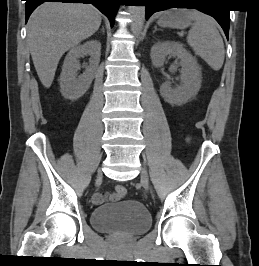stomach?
<instances>
[{"label": "stomach", "instance_id": "obj_1", "mask_svg": "<svg viewBox=\"0 0 259 266\" xmlns=\"http://www.w3.org/2000/svg\"><path fill=\"white\" fill-rule=\"evenodd\" d=\"M192 18L186 9H171L159 15L158 25L176 29H184L191 24Z\"/></svg>", "mask_w": 259, "mask_h": 266}]
</instances>
